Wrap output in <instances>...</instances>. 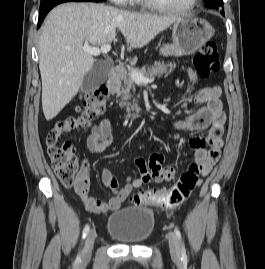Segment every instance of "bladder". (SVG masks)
<instances>
[{"instance_id": "obj_1", "label": "bladder", "mask_w": 265, "mask_h": 269, "mask_svg": "<svg viewBox=\"0 0 265 269\" xmlns=\"http://www.w3.org/2000/svg\"><path fill=\"white\" fill-rule=\"evenodd\" d=\"M154 230V213L146 207H124L111 214L107 220L108 235L122 244L143 245Z\"/></svg>"}]
</instances>
